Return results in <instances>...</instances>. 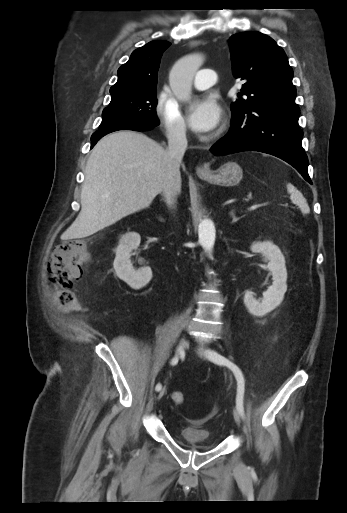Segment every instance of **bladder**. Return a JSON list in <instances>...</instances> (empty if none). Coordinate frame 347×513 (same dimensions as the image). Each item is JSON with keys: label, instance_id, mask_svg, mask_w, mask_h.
<instances>
[{"label": "bladder", "instance_id": "obj_1", "mask_svg": "<svg viewBox=\"0 0 347 513\" xmlns=\"http://www.w3.org/2000/svg\"><path fill=\"white\" fill-rule=\"evenodd\" d=\"M180 437L187 446L203 451H209L218 446V442L212 438L210 431L206 428L185 426L180 431Z\"/></svg>", "mask_w": 347, "mask_h": 513}]
</instances>
